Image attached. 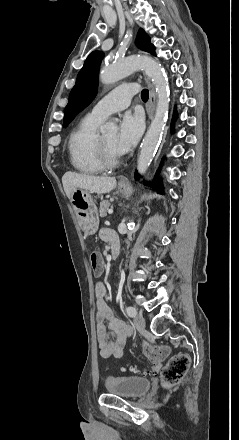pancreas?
Instances as JSON below:
<instances>
[{"mask_svg": "<svg viewBox=\"0 0 239 440\" xmlns=\"http://www.w3.org/2000/svg\"><path fill=\"white\" fill-rule=\"evenodd\" d=\"M109 206H111L110 202L108 200H102L100 202V208H99V214L100 218H104V216H107L106 212L109 210Z\"/></svg>", "mask_w": 239, "mask_h": 440, "instance_id": "cf45deb5", "label": "pancreas"}]
</instances>
